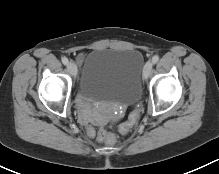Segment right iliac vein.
Segmentation results:
<instances>
[{
    "label": "right iliac vein",
    "mask_w": 219,
    "mask_h": 174,
    "mask_svg": "<svg viewBox=\"0 0 219 174\" xmlns=\"http://www.w3.org/2000/svg\"><path fill=\"white\" fill-rule=\"evenodd\" d=\"M67 69L71 75L75 76L77 74V66L74 62L68 63Z\"/></svg>",
    "instance_id": "1"
}]
</instances>
